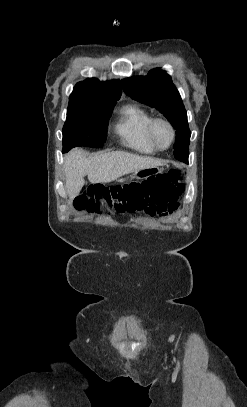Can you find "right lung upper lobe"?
I'll list each match as a JSON object with an SVG mask.
<instances>
[{"mask_svg":"<svg viewBox=\"0 0 247 407\" xmlns=\"http://www.w3.org/2000/svg\"><path fill=\"white\" fill-rule=\"evenodd\" d=\"M120 96L119 80L100 81L96 78H88L75 85L69 97V105L113 102Z\"/></svg>","mask_w":247,"mask_h":407,"instance_id":"right-lung-upper-lobe-1","label":"right lung upper lobe"}]
</instances>
